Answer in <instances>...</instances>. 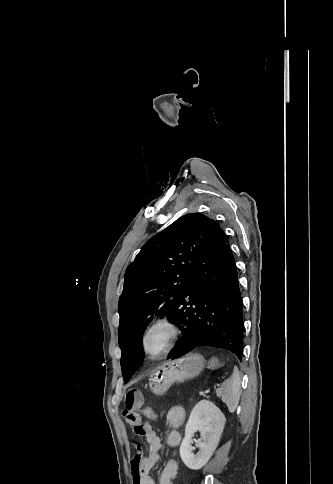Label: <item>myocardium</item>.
<instances>
[{
  "mask_svg": "<svg viewBox=\"0 0 333 484\" xmlns=\"http://www.w3.org/2000/svg\"><path fill=\"white\" fill-rule=\"evenodd\" d=\"M157 330L163 331V338L155 350L148 346L150 336ZM180 334V329L175 321L167 316L159 317L151 322L144 330L141 338L143 354L150 359H158L163 356L174 344Z\"/></svg>",
  "mask_w": 333,
  "mask_h": 484,
  "instance_id": "f54148a6",
  "label": "myocardium"
}]
</instances>
